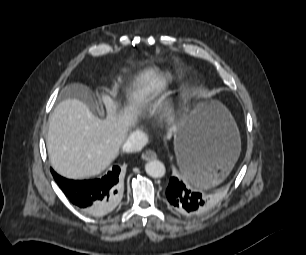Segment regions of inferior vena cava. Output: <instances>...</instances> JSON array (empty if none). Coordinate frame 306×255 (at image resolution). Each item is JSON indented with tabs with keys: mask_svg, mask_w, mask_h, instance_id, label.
<instances>
[{
	"mask_svg": "<svg viewBox=\"0 0 306 255\" xmlns=\"http://www.w3.org/2000/svg\"><path fill=\"white\" fill-rule=\"evenodd\" d=\"M147 143V136L144 132L137 130L131 133L122 145L126 152L140 151Z\"/></svg>",
	"mask_w": 306,
	"mask_h": 255,
	"instance_id": "inferior-vena-cava-1",
	"label": "inferior vena cava"
}]
</instances>
